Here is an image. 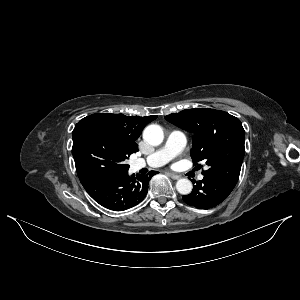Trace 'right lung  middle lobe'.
Wrapping results in <instances>:
<instances>
[{
	"label": "right lung middle lobe",
	"instance_id": "obj_1",
	"mask_svg": "<svg viewBox=\"0 0 300 300\" xmlns=\"http://www.w3.org/2000/svg\"><path fill=\"white\" fill-rule=\"evenodd\" d=\"M72 153L80 181L103 175L128 172L125 160L131 155L123 144L109 133L100 120L87 116L72 132Z\"/></svg>",
	"mask_w": 300,
	"mask_h": 300
}]
</instances>
